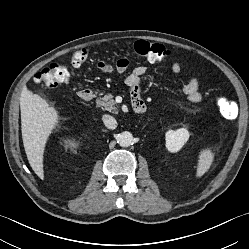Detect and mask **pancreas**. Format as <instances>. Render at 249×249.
<instances>
[{"label":"pancreas","instance_id":"1","mask_svg":"<svg viewBox=\"0 0 249 249\" xmlns=\"http://www.w3.org/2000/svg\"><path fill=\"white\" fill-rule=\"evenodd\" d=\"M113 98L114 96L112 93H107L103 97L96 100V105L111 113H118L117 107L115 106V100Z\"/></svg>","mask_w":249,"mask_h":249}]
</instances>
